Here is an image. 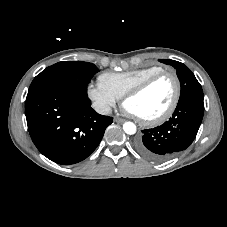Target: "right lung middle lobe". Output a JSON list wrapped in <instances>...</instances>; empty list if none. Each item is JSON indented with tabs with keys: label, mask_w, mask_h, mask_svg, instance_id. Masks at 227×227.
Returning <instances> with one entry per match:
<instances>
[{
	"label": "right lung middle lobe",
	"mask_w": 227,
	"mask_h": 227,
	"mask_svg": "<svg viewBox=\"0 0 227 227\" xmlns=\"http://www.w3.org/2000/svg\"><path fill=\"white\" fill-rule=\"evenodd\" d=\"M98 71L92 63L62 61L38 74L31 83L28 94L47 87L65 88L85 94L89 81Z\"/></svg>",
	"instance_id": "obj_1"
}]
</instances>
